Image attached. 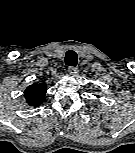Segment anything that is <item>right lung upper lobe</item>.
<instances>
[{"mask_svg": "<svg viewBox=\"0 0 135 153\" xmlns=\"http://www.w3.org/2000/svg\"><path fill=\"white\" fill-rule=\"evenodd\" d=\"M45 83H34L26 88L24 96L30 106L38 107L45 100Z\"/></svg>", "mask_w": 135, "mask_h": 153, "instance_id": "cb5924a9", "label": "right lung upper lobe"}]
</instances>
